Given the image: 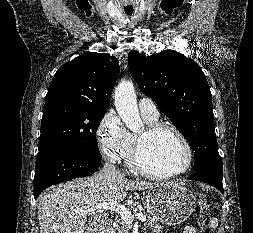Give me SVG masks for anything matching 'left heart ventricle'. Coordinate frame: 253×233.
I'll return each instance as SVG.
<instances>
[{
	"label": "left heart ventricle",
	"mask_w": 253,
	"mask_h": 233,
	"mask_svg": "<svg viewBox=\"0 0 253 233\" xmlns=\"http://www.w3.org/2000/svg\"><path fill=\"white\" fill-rule=\"evenodd\" d=\"M141 157L144 165L152 171H176L186 163L183 144L169 131L146 137Z\"/></svg>",
	"instance_id": "left-heart-ventricle-1"
}]
</instances>
